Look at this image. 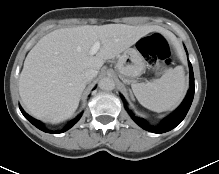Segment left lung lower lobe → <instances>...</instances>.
I'll return each instance as SVG.
<instances>
[{"label":"left lung lower lobe","instance_id":"1","mask_svg":"<svg viewBox=\"0 0 219 174\" xmlns=\"http://www.w3.org/2000/svg\"><path fill=\"white\" fill-rule=\"evenodd\" d=\"M189 68H190V85L191 86L188 90L186 98L184 99L182 104L178 107V109H176L170 116L165 118L160 125L156 127L148 125L145 120H143L142 118L136 117L127 108L126 103H125L126 110L128 111V113L130 114V116L132 117V119L134 120L136 124H138L141 128L147 131L153 132V133H164V132L170 131L173 128H175L185 118L191 106V103L193 101L194 90H195L194 74H193V69H192V65L190 62H189ZM122 99L125 100L123 96H122Z\"/></svg>","mask_w":219,"mask_h":174}]
</instances>
